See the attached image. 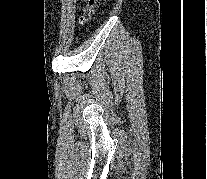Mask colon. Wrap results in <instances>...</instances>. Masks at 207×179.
<instances>
[{
	"label": "colon",
	"mask_w": 207,
	"mask_h": 179,
	"mask_svg": "<svg viewBox=\"0 0 207 179\" xmlns=\"http://www.w3.org/2000/svg\"><path fill=\"white\" fill-rule=\"evenodd\" d=\"M105 0H89L87 6L83 10L79 21L80 24L89 22L96 11V9L104 2Z\"/></svg>",
	"instance_id": "obj_1"
}]
</instances>
